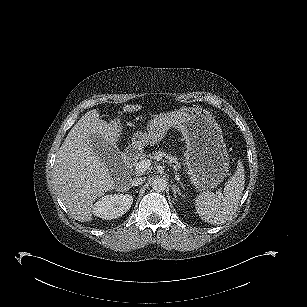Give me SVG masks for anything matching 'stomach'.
Wrapping results in <instances>:
<instances>
[{
	"instance_id": "0dacf381",
	"label": "stomach",
	"mask_w": 307,
	"mask_h": 307,
	"mask_svg": "<svg viewBox=\"0 0 307 307\" xmlns=\"http://www.w3.org/2000/svg\"><path fill=\"white\" fill-rule=\"evenodd\" d=\"M170 128L178 129L185 141L184 165L191 182L202 190L217 187L226 176L229 160L222 131L214 117L201 107H182L155 115L133 144L159 142Z\"/></svg>"
}]
</instances>
